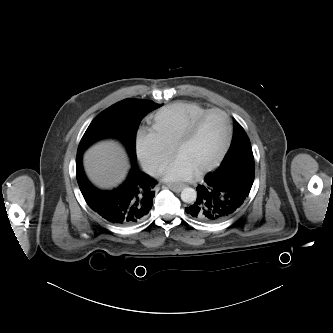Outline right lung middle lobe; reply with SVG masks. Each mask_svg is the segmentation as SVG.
Wrapping results in <instances>:
<instances>
[{
	"label": "right lung middle lobe",
	"instance_id": "obj_1",
	"mask_svg": "<svg viewBox=\"0 0 333 333\" xmlns=\"http://www.w3.org/2000/svg\"><path fill=\"white\" fill-rule=\"evenodd\" d=\"M162 105L143 99H125L112 105L91 122L80 141L78 153H83L97 140L114 137L125 145L130 157L136 159V130L150 111Z\"/></svg>",
	"mask_w": 333,
	"mask_h": 333
}]
</instances>
